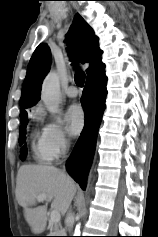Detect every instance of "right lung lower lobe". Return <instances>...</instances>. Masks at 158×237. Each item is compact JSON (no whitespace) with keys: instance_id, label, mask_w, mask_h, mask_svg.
Segmentation results:
<instances>
[{"instance_id":"98d812e1","label":"right lung lower lobe","mask_w":158,"mask_h":237,"mask_svg":"<svg viewBox=\"0 0 158 237\" xmlns=\"http://www.w3.org/2000/svg\"><path fill=\"white\" fill-rule=\"evenodd\" d=\"M106 81L104 69L86 79L81 97L85 125L66 164L69 174L82 189L85 188L87 173L96 146L98 128L105 109Z\"/></svg>"}]
</instances>
